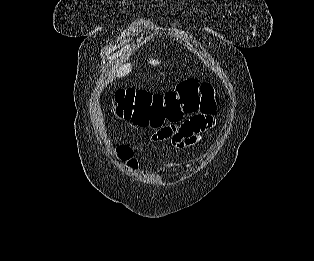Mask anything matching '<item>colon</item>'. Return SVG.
I'll return each mask as SVG.
<instances>
[{
  "label": "colon",
  "instance_id": "obj_1",
  "mask_svg": "<svg viewBox=\"0 0 314 261\" xmlns=\"http://www.w3.org/2000/svg\"><path fill=\"white\" fill-rule=\"evenodd\" d=\"M117 115L139 127L161 129L167 120H183L186 115L214 109L213 88L208 83L187 79L176 90L164 94L142 89H120L115 93ZM118 152L128 167H135L132 152L127 146Z\"/></svg>",
  "mask_w": 314,
  "mask_h": 261
}]
</instances>
